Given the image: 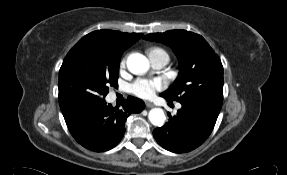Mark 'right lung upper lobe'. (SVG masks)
Here are the masks:
<instances>
[{
  "mask_svg": "<svg viewBox=\"0 0 287 175\" xmlns=\"http://www.w3.org/2000/svg\"><path fill=\"white\" fill-rule=\"evenodd\" d=\"M142 36L140 33L98 30L87 34L80 41H89L97 55H117L122 54Z\"/></svg>",
  "mask_w": 287,
  "mask_h": 175,
  "instance_id": "right-lung-upper-lobe-1",
  "label": "right lung upper lobe"
}]
</instances>
